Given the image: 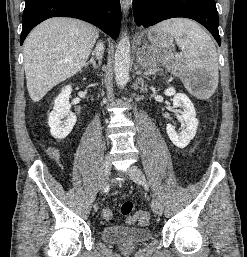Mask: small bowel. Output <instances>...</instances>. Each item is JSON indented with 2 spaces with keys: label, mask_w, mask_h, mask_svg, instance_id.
<instances>
[{
  "label": "small bowel",
  "mask_w": 247,
  "mask_h": 257,
  "mask_svg": "<svg viewBox=\"0 0 247 257\" xmlns=\"http://www.w3.org/2000/svg\"><path fill=\"white\" fill-rule=\"evenodd\" d=\"M50 153L53 157H57V152L55 150L51 149Z\"/></svg>",
  "instance_id": "small-bowel-1"
}]
</instances>
